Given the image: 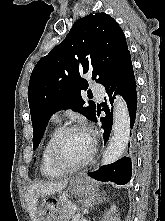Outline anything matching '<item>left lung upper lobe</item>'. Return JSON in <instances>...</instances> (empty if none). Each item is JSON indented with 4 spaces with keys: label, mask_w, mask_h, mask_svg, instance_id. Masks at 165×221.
<instances>
[{
    "label": "left lung upper lobe",
    "mask_w": 165,
    "mask_h": 221,
    "mask_svg": "<svg viewBox=\"0 0 165 221\" xmlns=\"http://www.w3.org/2000/svg\"><path fill=\"white\" fill-rule=\"evenodd\" d=\"M128 54L125 35L108 14H89L74 23L66 38L38 61L30 77L28 101L34 150L57 110L72 108L94 120L95 105L85 106L81 97V90L88 88L81 75L90 73L103 85Z\"/></svg>",
    "instance_id": "1"
}]
</instances>
